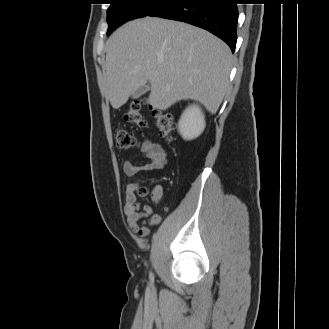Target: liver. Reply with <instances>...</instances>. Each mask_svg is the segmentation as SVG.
<instances>
[{"label": "liver", "mask_w": 329, "mask_h": 329, "mask_svg": "<svg viewBox=\"0 0 329 329\" xmlns=\"http://www.w3.org/2000/svg\"><path fill=\"white\" fill-rule=\"evenodd\" d=\"M232 53L213 34L179 21L145 17L117 29L107 41L105 88L114 109L150 83L148 103L166 110L199 101L216 113L229 85Z\"/></svg>", "instance_id": "1"}]
</instances>
